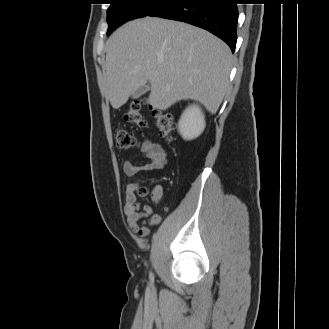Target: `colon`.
Instances as JSON below:
<instances>
[{
    "instance_id": "obj_1",
    "label": "colon",
    "mask_w": 329,
    "mask_h": 329,
    "mask_svg": "<svg viewBox=\"0 0 329 329\" xmlns=\"http://www.w3.org/2000/svg\"><path fill=\"white\" fill-rule=\"evenodd\" d=\"M124 119L128 123L143 128L146 122L142 113V103L138 100L132 101L124 114ZM154 120L160 136L166 139H172L175 132V123L172 113L169 110H157L154 114ZM115 139L118 147L123 150H129L136 146L135 137L124 129L115 130ZM137 193L141 196L149 194L147 188L137 187ZM152 195V193H151Z\"/></svg>"
}]
</instances>
